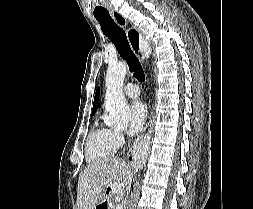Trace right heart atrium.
Listing matches in <instances>:
<instances>
[{"mask_svg": "<svg viewBox=\"0 0 253 209\" xmlns=\"http://www.w3.org/2000/svg\"><path fill=\"white\" fill-rule=\"evenodd\" d=\"M124 135L120 131H112V141L116 147L121 146L124 143Z\"/></svg>", "mask_w": 253, "mask_h": 209, "instance_id": "right-heart-atrium-1", "label": "right heart atrium"}]
</instances>
